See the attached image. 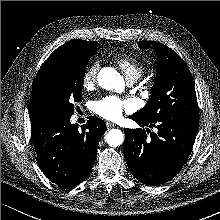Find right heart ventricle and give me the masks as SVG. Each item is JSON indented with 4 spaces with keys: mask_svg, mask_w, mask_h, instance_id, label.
Listing matches in <instances>:
<instances>
[{
    "mask_svg": "<svg viewBox=\"0 0 220 220\" xmlns=\"http://www.w3.org/2000/svg\"><path fill=\"white\" fill-rule=\"evenodd\" d=\"M114 60L119 65L123 73L128 79H136L143 72V66L135 61L127 53H118L114 56Z\"/></svg>",
    "mask_w": 220,
    "mask_h": 220,
    "instance_id": "e07e8e85",
    "label": "right heart ventricle"
}]
</instances>
